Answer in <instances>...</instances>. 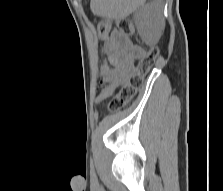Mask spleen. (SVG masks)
I'll use <instances>...</instances> for the list:
<instances>
[{
    "instance_id": "1",
    "label": "spleen",
    "mask_w": 223,
    "mask_h": 191,
    "mask_svg": "<svg viewBox=\"0 0 223 191\" xmlns=\"http://www.w3.org/2000/svg\"><path fill=\"white\" fill-rule=\"evenodd\" d=\"M92 11L103 17H122L136 9L135 0H92Z\"/></svg>"
}]
</instances>
